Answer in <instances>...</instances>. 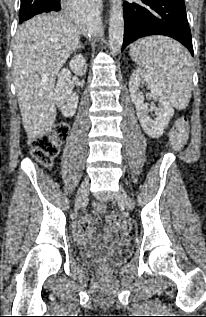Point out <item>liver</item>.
Masks as SVG:
<instances>
[{
	"mask_svg": "<svg viewBox=\"0 0 206 317\" xmlns=\"http://www.w3.org/2000/svg\"><path fill=\"white\" fill-rule=\"evenodd\" d=\"M79 44V30L68 15L43 14L19 27L13 47V78L29 139L40 138L52 128L55 79Z\"/></svg>",
	"mask_w": 206,
	"mask_h": 317,
	"instance_id": "1",
	"label": "liver"
}]
</instances>
